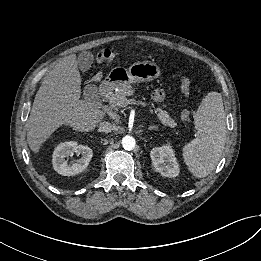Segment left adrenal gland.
<instances>
[{"label": "left adrenal gland", "mask_w": 261, "mask_h": 261, "mask_svg": "<svg viewBox=\"0 0 261 261\" xmlns=\"http://www.w3.org/2000/svg\"><path fill=\"white\" fill-rule=\"evenodd\" d=\"M149 130H158V127L157 126H150Z\"/></svg>", "instance_id": "1"}]
</instances>
